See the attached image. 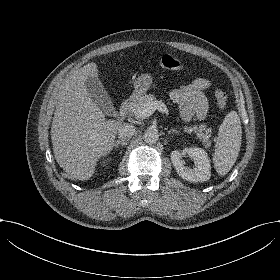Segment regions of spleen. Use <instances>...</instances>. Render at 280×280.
Instances as JSON below:
<instances>
[{
    "label": "spleen",
    "instance_id": "1",
    "mask_svg": "<svg viewBox=\"0 0 280 280\" xmlns=\"http://www.w3.org/2000/svg\"><path fill=\"white\" fill-rule=\"evenodd\" d=\"M242 141V128L238 114L231 111L218 132L213 163L216 172L224 176L235 164Z\"/></svg>",
    "mask_w": 280,
    "mask_h": 280
}]
</instances>
